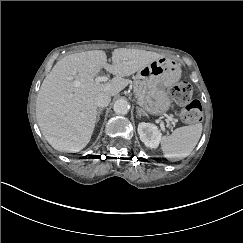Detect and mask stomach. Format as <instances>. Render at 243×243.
Returning a JSON list of instances; mask_svg holds the SVG:
<instances>
[{"label":"stomach","instance_id":"stomach-1","mask_svg":"<svg viewBox=\"0 0 243 243\" xmlns=\"http://www.w3.org/2000/svg\"><path fill=\"white\" fill-rule=\"evenodd\" d=\"M181 77L180 66L172 60L159 58L137 72L134 78V94L145 112L162 115L171 106L167 88Z\"/></svg>","mask_w":243,"mask_h":243}]
</instances>
